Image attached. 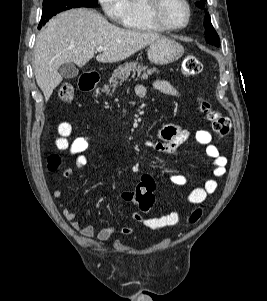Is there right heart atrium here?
Here are the masks:
<instances>
[{
    "mask_svg": "<svg viewBox=\"0 0 267 301\" xmlns=\"http://www.w3.org/2000/svg\"><path fill=\"white\" fill-rule=\"evenodd\" d=\"M104 14L114 23L123 24L126 18V0H98Z\"/></svg>",
    "mask_w": 267,
    "mask_h": 301,
    "instance_id": "1",
    "label": "right heart atrium"
}]
</instances>
